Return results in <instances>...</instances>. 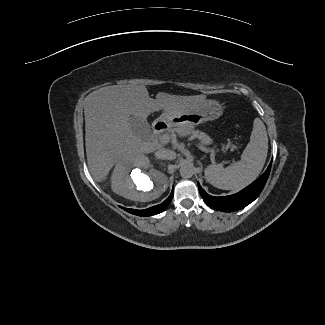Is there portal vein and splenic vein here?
<instances>
[{
  "mask_svg": "<svg viewBox=\"0 0 325 325\" xmlns=\"http://www.w3.org/2000/svg\"><path fill=\"white\" fill-rule=\"evenodd\" d=\"M171 140V137L167 134H162L160 137H159V141L163 144H167L169 143Z\"/></svg>",
  "mask_w": 325,
  "mask_h": 325,
  "instance_id": "portal-vein-and-splenic-vein-1",
  "label": "portal vein and splenic vein"
}]
</instances>
